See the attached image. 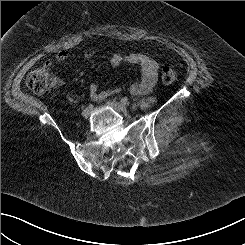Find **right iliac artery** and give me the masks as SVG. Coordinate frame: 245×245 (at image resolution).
Instances as JSON below:
<instances>
[{
    "label": "right iliac artery",
    "instance_id": "82829eb1",
    "mask_svg": "<svg viewBox=\"0 0 245 245\" xmlns=\"http://www.w3.org/2000/svg\"><path fill=\"white\" fill-rule=\"evenodd\" d=\"M93 106H94V105H93L92 103H90V104L88 105V108L92 109Z\"/></svg>",
    "mask_w": 245,
    "mask_h": 245
}]
</instances>
